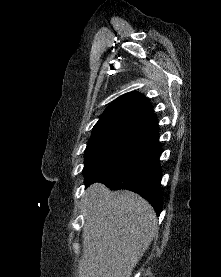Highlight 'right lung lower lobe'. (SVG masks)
<instances>
[{
	"label": "right lung lower lobe",
	"mask_w": 221,
	"mask_h": 277,
	"mask_svg": "<svg viewBox=\"0 0 221 277\" xmlns=\"http://www.w3.org/2000/svg\"><path fill=\"white\" fill-rule=\"evenodd\" d=\"M141 125L146 131L143 141L120 165L103 176L87 180L86 186L101 182L110 189L134 191L144 197L159 215L162 210V174L159 166L161 148L155 114H147Z\"/></svg>",
	"instance_id": "right-lung-lower-lobe-1"
}]
</instances>
